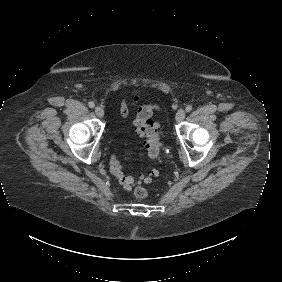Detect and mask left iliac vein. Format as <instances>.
Returning a JSON list of instances; mask_svg holds the SVG:
<instances>
[{"mask_svg":"<svg viewBox=\"0 0 282 282\" xmlns=\"http://www.w3.org/2000/svg\"><path fill=\"white\" fill-rule=\"evenodd\" d=\"M184 118H185V110L184 109L178 110L175 116L176 122H181L184 120Z\"/></svg>","mask_w":282,"mask_h":282,"instance_id":"left-iliac-vein-1","label":"left iliac vein"}]
</instances>
